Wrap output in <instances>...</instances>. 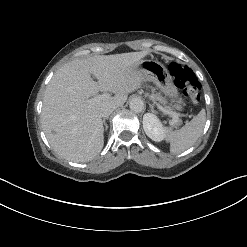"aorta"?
<instances>
[{
	"instance_id": "obj_1",
	"label": "aorta",
	"mask_w": 247,
	"mask_h": 247,
	"mask_svg": "<svg viewBox=\"0 0 247 247\" xmlns=\"http://www.w3.org/2000/svg\"><path fill=\"white\" fill-rule=\"evenodd\" d=\"M129 107L133 112L140 113L144 110V102L139 97H134L129 102Z\"/></svg>"
}]
</instances>
